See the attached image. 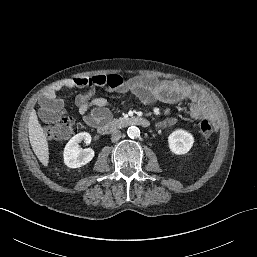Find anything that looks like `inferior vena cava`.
<instances>
[{"instance_id":"1","label":"inferior vena cava","mask_w":257,"mask_h":257,"mask_svg":"<svg viewBox=\"0 0 257 257\" xmlns=\"http://www.w3.org/2000/svg\"><path fill=\"white\" fill-rule=\"evenodd\" d=\"M121 138V132L119 130H115L111 134L112 142H117Z\"/></svg>"}]
</instances>
